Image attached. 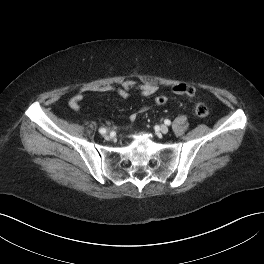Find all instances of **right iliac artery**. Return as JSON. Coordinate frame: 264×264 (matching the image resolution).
I'll return each mask as SVG.
<instances>
[{"mask_svg":"<svg viewBox=\"0 0 264 264\" xmlns=\"http://www.w3.org/2000/svg\"><path fill=\"white\" fill-rule=\"evenodd\" d=\"M99 132H100L101 134H104V133H106V129H105V128H100V129H99Z\"/></svg>","mask_w":264,"mask_h":264,"instance_id":"obj_1","label":"right iliac artery"}]
</instances>
